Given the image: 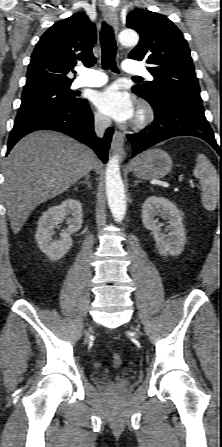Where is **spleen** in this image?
<instances>
[{
    "label": "spleen",
    "mask_w": 222,
    "mask_h": 447,
    "mask_svg": "<svg viewBox=\"0 0 222 447\" xmlns=\"http://www.w3.org/2000/svg\"><path fill=\"white\" fill-rule=\"evenodd\" d=\"M194 176L199 179L202 186V203L208 211L216 208L219 192L220 178L215 167L203 154H197V163L193 171Z\"/></svg>",
    "instance_id": "1"
}]
</instances>
